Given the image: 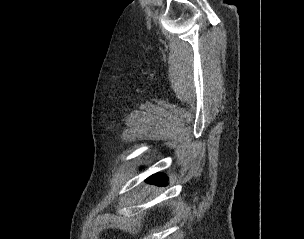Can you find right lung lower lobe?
<instances>
[{"instance_id": "1", "label": "right lung lower lobe", "mask_w": 304, "mask_h": 239, "mask_svg": "<svg viewBox=\"0 0 304 239\" xmlns=\"http://www.w3.org/2000/svg\"><path fill=\"white\" fill-rule=\"evenodd\" d=\"M148 181L156 185H166L167 178L162 174H154L148 178Z\"/></svg>"}]
</instances>
